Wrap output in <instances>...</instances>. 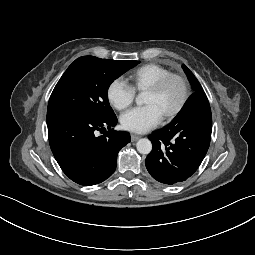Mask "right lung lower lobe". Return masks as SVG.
I'll return each instance as SVG.
<instances>
[{"instance_id":"obj_1","label":"right lung lower lobe","mask_w":255,"mask_h":255,"mask_svg":"<svg viewBox=\"0 0 255 255\" xmlns=\"http://www.w3.org/2000/svg\"><path fill=\"white\" fill-rule=\"evenodd\" d=\"M116 116L103 119L73 109L47 111L49 143L63 172L74 182L90 186L103 182L116 169L118 152L130 134L111 129ZM109 129L104 135L96 131Z\"/></svg>"}]
</instances>
